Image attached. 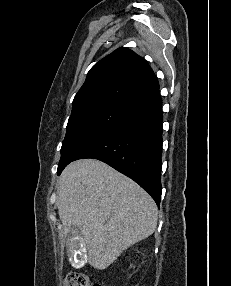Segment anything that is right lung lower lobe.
<instances>
[{"mask_svg": "<svg viewBox=\"0 0 231 286\" xmlns=\"http://www.w3.org/2000/svg\"><path fill=\"white\" fill-rule=\"evenodd\" d=\"M161 107L162 100L158 86L154 92L132 108L131 116L91 142L73 161L94 158L107 163L137 182L159 206L162 193Z\"/></svg>", "mask_w": 231, "mask_h": 286, "instance_id": "obj_1", "label": "right lung lower lobe"}]
</instances>
